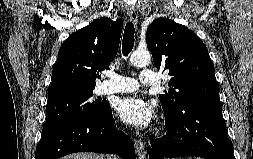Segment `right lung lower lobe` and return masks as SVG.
<instances>
[{
	"label": "right lung lower lobe",
	"instance_id": "obj_1",
	"mask_svg": "<svg viewBox=\"0 0 253 159\" xmlns=\"http://www.w3.org/2000/svg\"><path fill=\"white\" fill-rule=\"evenodd\" d=\"M113 153L135 159L131 139L118 131L110 105L98 116H80L43 133L36 159H58L74 152Z\"/></svg>",
	"mask_w": 253,
	"mask_h": 159
}]
</instances>
